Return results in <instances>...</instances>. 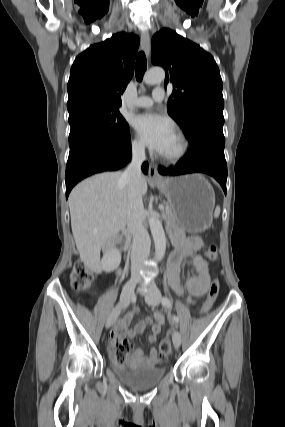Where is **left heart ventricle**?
<instances>
[{"mask_svg": "<svg viewBox=\"0 0 285 427\" xmlns=\"http://www.w3.org/2000/svg\"><path fill=\"white\" fill-rule=\"evenodd\" d=\"M178 148H179V141H178L176 135L174 134L172 136V138L170 139V141L168 142L165 149L160 154L170 155V154L175 153L178 150Z\"/></svg>", "mask_w": 285, "mask_h": 427, "instance_id": "left-heart-ventricle-1", "label": "left heart ventricle"}]
</instances>
